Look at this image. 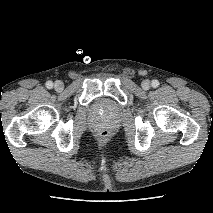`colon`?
Returning a JSON list of instances; mask_svg holds the SVG:
<instances>
[{"label":"colon","mask_w":213,"mask_h":213,"mask_svg":"<svg viewBox=\"0 0 213 213\" xmlns=\"http://www.w3.org/2000/svg\"><path fill=\"white\" fill-rule=\"evenodd\" d=\"M108 132L107 131H101L100 133H99V137L101 138V139H106L107 137H108Z\"/></svg>","instance_id":"1"}]
</instances>
